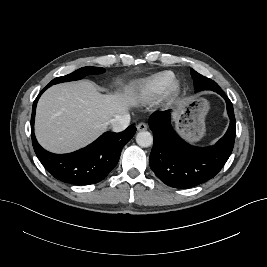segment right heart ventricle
Segmentation results:
<instances>
[{
	"mask_svg": "<svg viewBox=\"0 0 267 267\" xmlns=\"http://www.w3.org/2000/svg\"><path fill=\"white\" fill-rule=\"evenodd\" d=\"M175 80L174 73L163 71L140 80L132 89V97L137 101H149L162 95Z\"/></svg>",
	"mask_w": 267,
	"mask_h": 267,
	"instance_id": "1",
	"label": "right heart ventricle"
}]
</instances>
